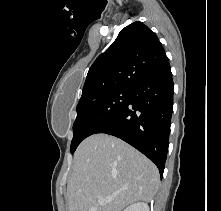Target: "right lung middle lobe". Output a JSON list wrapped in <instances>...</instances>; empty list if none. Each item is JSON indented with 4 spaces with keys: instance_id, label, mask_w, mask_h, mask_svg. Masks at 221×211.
<instances>
[{
    "instance_id": "dd1d6c3e",
    "label": "right lung middle lobe",
    "mask_w": 221,
    "mask_h": 211,
    "mask_svg": "<svg viewBox=\"0 0 221 211\" xmlns=\"http://www.w3.org/2000/svg\"><path fill=\"white\" fill-rule=\"evenodd\" d=\"M130 95L131 88H120L80 100L73 125L70 152L73 154L85 138L95 134L108 123L125 106Z\"/></svg>"
}]
</instances>
